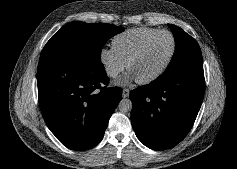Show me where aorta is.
Wrapping results in <instances>:
<instances>
[{"label":"aorta","mask_w":237,"mask_h":169,"mask_svg":"<svg viewBox=\"0 0 237 169\" xmlns=\"http://www.w3.org/2000/svg\"><path fill=\"white\" fill-rule=\"evenodd\" d=\"M118 109L122 113H128L132 110V102L128 98H123L119 104H118Z\"/></svg>","instance_id":"1"}]
</instances>
